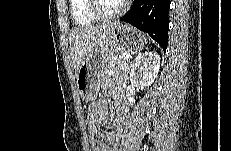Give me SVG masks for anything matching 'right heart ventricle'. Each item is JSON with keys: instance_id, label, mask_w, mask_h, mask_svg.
<instances>
[{"instance_id": "e07e8e85", "label": "right heart ventricle", "mask_w": 231, "mask_h": 151, "mask_svg": "<svg viewBox=\"0 0 231 151\" xmlns=\"http://www.w3.org/2000/svg\"><path fill=\"white\" fill-rule=\"evenodd\" d=\"M89 0H72L71 1V14L73 20L78 25H90L98 20L92 16L88 6Z\"/></svg>"}]
</instances>
